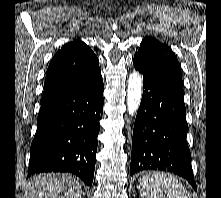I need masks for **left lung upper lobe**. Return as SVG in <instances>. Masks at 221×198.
Instances as JSON below:
<instances>
[{"mask_svg": "<svg viewBox=\"0 0 221 198\" xmlns=\"http://www.w3.org/2000/svg\"><path fill=\"white\" fill-rule=\"evenodd\" d=\"M135 57L140 58L153 71L168 80L184 94L180 65L168 46L153 37H146L141 42Z\"/></svg>", "mask_w": 221, "mask_h": 198, "instance_id": "5c2ea615", "label": "left lung upper lobe"}]
</instances>
